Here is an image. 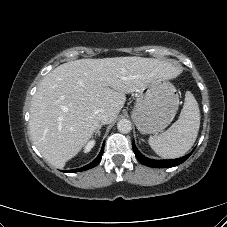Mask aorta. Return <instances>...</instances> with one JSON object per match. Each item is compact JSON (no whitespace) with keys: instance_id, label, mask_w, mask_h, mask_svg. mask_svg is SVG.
Returning a JSON list of instances; mask_svg holds the SVG:
<instances>
[{"instance_id":"1","label":"aorta","mask_w":227,"mask_h":227,"mask_svg":"<svg viewBox=\"0 0 227 227\" xmlns=\"http://www.w3.org/2000/svg\"><path fill=\"white\" fill-rule=\"evenodd\" d=\"M117 129L120 133L127 134L132 130V124L128 119H121L117 123Z\"/></svg>"}]
</instances>
